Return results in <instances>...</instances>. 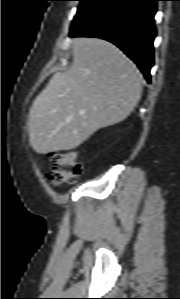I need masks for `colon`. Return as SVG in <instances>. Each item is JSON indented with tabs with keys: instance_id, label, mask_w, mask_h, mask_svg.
Wrapping results in <instances>:
<instances>
[{
	"instance_id": "colon-1",
	"label": "colon",
	"mask_w": 180,
	"mask_h": 299,
	"mask_svg": "<svg viewBox=\"0 0 180 299\" xmlns=\"http://www.w3.org/2000/svg\"><path fill=\"white\" fill-rule=\"evenodd\" d=\"M52 166L48 173L49 181L54 186L74 184L82 175V164L72 151H56L50 154Z\"/></svg>"
}]
</instances>
